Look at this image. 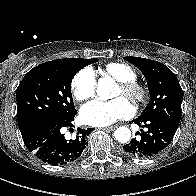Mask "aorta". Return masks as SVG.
Here are the masks:
<instances>
[{"label": "aorta", "mask_w": 196, "mask_h": 196, "mask_svg": "<svg viewBox=\"0 0 196 196\" xmlns=\"http://www.w3.org/2000/svg\"><path fill=\"white\" fill-rule=\"evenodd\" d=\"M115 83L112 78H100L97 86V95L104 101L113 98L112 92ZM115 139L120 143H127L131 138V131L127 127H119L114 132Z\"/></svg>", "instance_id": "1"}]
</instances>
